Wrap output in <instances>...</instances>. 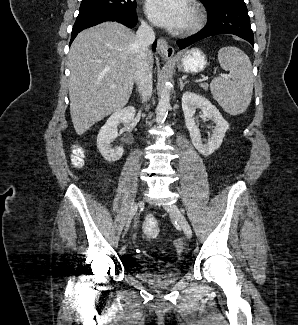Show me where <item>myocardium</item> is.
I'll list each match as a JSON object with an SVG mask.
<instances>
[{"instance_id":"myocardium-1","label":"myocardium","mask_w":298,"mask_h":325,"mask_svg":"<svg viewBox=\"0 0 298 325\" xmlns=\"http://www.w3.org/2000/svg\"><path fill=\"white\" fill-rule=\"evenodd\" d=\"M189 7V10H190V13H191V23L183 28L181 30V33H192L194 31H196L197 29H199L201 27V24H202V18H201V15H200V12L199 10L196 8V6L193 4V3H189L188 5ZM149 70V67L146 68V71Z\"/></svg>"}]
</instances>
